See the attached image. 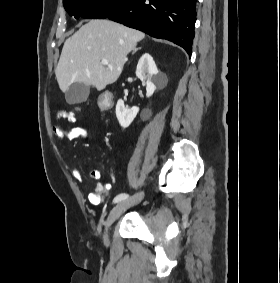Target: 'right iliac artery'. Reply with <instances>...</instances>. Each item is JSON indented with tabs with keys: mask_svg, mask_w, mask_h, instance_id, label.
<instances>
[{
	"mask_svg": "<svg viewBox=\"0 0 280 283\" xmlns=\"http://www.w3.org/2000/svg\"><path fill=\"white\" fill-rule=\"evenodd\" d=\"M128 197H129V195L126 194V193L118 194V195L114 198L113 203H118V202H120V201L126 200Z\"/></svg>",
	"mask_w": 280,
	"mask_h": 283,
	"instance_id": "1",
	"label": "right iliac artery"
}]
</instances>
